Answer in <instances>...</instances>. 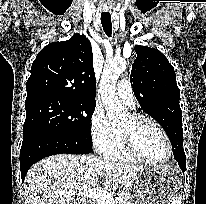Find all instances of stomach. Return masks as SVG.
<instances>
[{"instance_id": "1", "label": "stomach", "mask_w": 206, "mask_h": 204, "mask_svg": "<svg viewBox=\"0 0 206 204\" xmlns=\"http://www.w3.org/2000/svg\"><path fill=\"white\" fill-rule=\"evenodd\" d=\"M181 185L173 165L146 167L126 186L132 204H171Z\"/></svg>"}]
</instances>
